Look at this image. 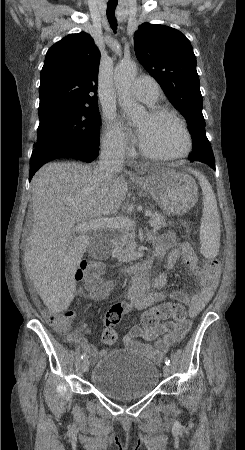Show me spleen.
I'll list each match as a JSON object with an SVG mask.
<instances>
[{"label": "spleen", "instance_id": "obj_1", "mask_svg": "<svg viewBox=\"0 0 245 450\" xmlns=\"http://www.w3.org/2000/svg\"><path fill=\"white\" fill-rule=\"evenodd\" d=\"M199 181L203 194V209L200 226L201 253L208 259L215 258L220 248V215L212 186L198 171L189 170Z\"/></svg>", "mask_w": 245, "mask_h": 450}]
</instances>
